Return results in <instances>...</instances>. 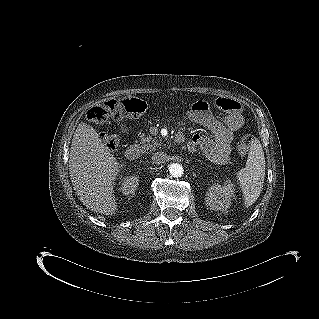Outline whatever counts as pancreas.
<instances>
[{
  "label": "pancreas",
  "instance_id": "pancreas-1",
  "mask_svg": "<svg viewBox=\"0 0 319 319\" xmlns=\"http://www.w3.org/2000/svg\"><path fill=\"white\" fill-rule=\"evenodd\" d=\"M139 142L143 152H152L158 147V144L152 140L151 136L144 134L140 136Z\"/></svg>",
  "mask_w": 319,
  "mask_h": 319
}]
</instances>
